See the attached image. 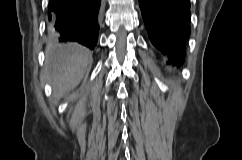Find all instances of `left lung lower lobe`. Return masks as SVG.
Masks as SVG:
<instances>
[{"instance_id":"obj_1","label":"left lung lower lobe","mask_w":242,"mask_h":160,"mask_svg":"<svg viewBox=\"0 0 242 160\" xmlns=\"http://www.w3.org/2000/svg\"><path fill=\"white\" fill-rule=\"evenodd\" d=\"M143 20L152 44L169 57L167 63L180 66L190 36V0H139Z\"/></svg>"}]
</instances>
